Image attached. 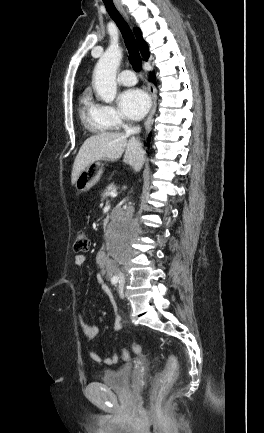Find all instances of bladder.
Returning <instances> with one entry per match:
<instances>
[{"mask_svg":"<svg viewBox=\"0 0 264 433\" xmlns=\"http://www.w3.org/2000/svg\"><path fill=\"white\" fill-rule=\"evenodd\" d=\"M130 372V366H124L116 370L106 369L101 375L100 383L113 391L127 393L130 389Z\"/></svg>","mask_w":264,"mask_h":433,"instance_id":"obj_1","label":"bladder"}]
</instances>
